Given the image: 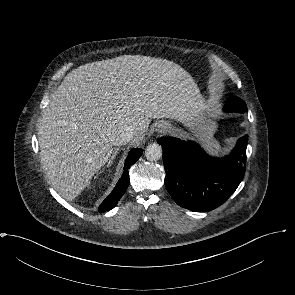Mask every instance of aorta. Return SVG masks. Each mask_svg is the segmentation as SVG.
Returning <instances> with one entry per match:
<instances>
[{"label":"aorta","mask_w":295,"mask_h":295,"mask_svg":"<svg viewBox=\"0 0 295 295\" xmlns=\"http://www.w3.org/2000/svg\"><path fill=\"white\" fill-rule=\"evenodd\" d=\"M145 156L149 161H157L162 157V147L157 143L148 145Z\"/></svg>","instance_id":"762f6f07"}]
</instances>
